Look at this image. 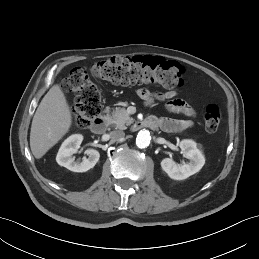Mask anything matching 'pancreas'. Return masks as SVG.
<instances>
[{
    "instance_id": "1",
    "label": "pancreas",
    "mask_w": 259,
    "mask_h": 259,
    "mask_svg": "<svg viewBox=\"0 0 259 259\" xmlns=\"http://www.w3.org/2000/svg\"><path fill=\"white\" fill-rule=\"evenodd\" d=\"M106 119L110 124H114L116 128L126 129L133 123V118L129 116L125 108L117 107L111 114L106 115Z\"/></svg>"
}]
</instances>
